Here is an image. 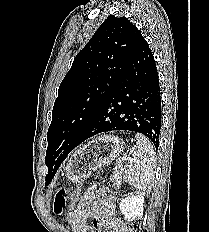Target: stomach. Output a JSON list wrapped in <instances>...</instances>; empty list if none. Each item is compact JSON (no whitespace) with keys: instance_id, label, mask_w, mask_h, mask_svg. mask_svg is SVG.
I'll return each instance as SVG.
<instances>
[{"instance_id":"1","label":"stomach","mask_w":209,"mask_h":232,"mask_svg":"<svg viewBox=\"0 0 209 232\" xmlns=\"http://www.w3.org/2000/svg\"><path fill=\"white\" fill-rule=\"evenodd\" d=\"M125 149V143L113 135H104L78 149L69 159L66 176L81 182L98 169L108 166Z\"/></svg>"}]
</instances>
